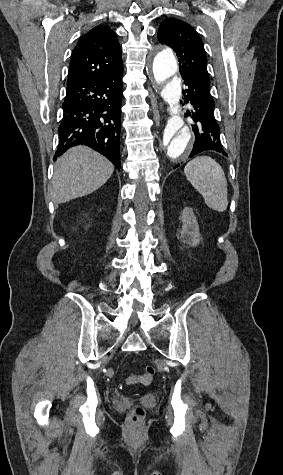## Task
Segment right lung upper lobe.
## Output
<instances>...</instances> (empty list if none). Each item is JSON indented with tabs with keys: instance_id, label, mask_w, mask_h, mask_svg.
<instances>
[{
	"instance_id": "right-lung-upper-lobe-1",
	"label": "right lung upper lobe",
	"mask_w": 283,
	"mask_h": 475,
	"mask_svg": "<svg viewBox=\"0 0 283 475\" xmlns=\"http://www.w3.org/2000/svg\"><path fill=\"white\" fill-rule=\"evenodd\" d=\"M123 71L121 48L115 32L99 25L83 35L73 50L67 83L98 80Z\"/></svg>"
}]
</instances>
